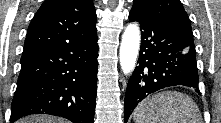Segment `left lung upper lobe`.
Segmentation results:
<instances>
[{
	"label": "left lung upper lobe",
	"instance_id": "obj_1",
	"mask_svg": "<svg viewBox=\"0 0 221 123\" xmlns=\"http://www.w3.org/2000/svg\"><path fill=\"white\" fill-rule=\"evenodd\" d=\"M154 20L192 36L189 18L179 0H134Z\"/></svg>",
	"mask_w": 221,
	"mask_h": 123
}]
</instances>
